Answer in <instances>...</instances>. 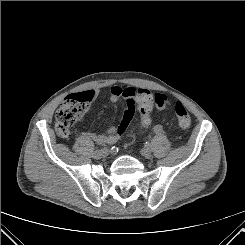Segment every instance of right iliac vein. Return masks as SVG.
Returning a JSON list of instances; mask_svg holds the SVG:
<instances>
[{
  "label": "right iliac vein",
  "mask_w": 245,
  "mask_h": 245,
  "mask_svg": "<svg viewBox=\"0 0 245 245\" xmlns=\"http://www.w3.org/2000/svg\"><path fill=\"white\" fill-rule=\"evenodd\" d=\"M109 152V151H108ZM94 158H101V157H106L103 154L100 153V150H98L95 154H93Z\"/></svg>",
  "instance_id": "obj_1"
}]
</instances>
